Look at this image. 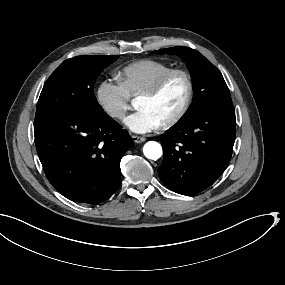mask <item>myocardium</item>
<instances>
[{"mask_svg":"<svg viewBox=\"0 0 285 285\" xmlns=\"http://www.w3.org/2000/svg\"><path fill=\"white\" fill-rule=\"evenodd\" d=\"M176 77H180L183 80L184 90L182 100L174 112L160 121V125L163 127H168L178 122L187 112L192 94V83L189 75L183 70H173L164 75L154 86L144 92L137 100V103H142L146 99L155 96L161 92L168 84H170Z\"/></svg>","mask_w":285,"mask_h":285,"instance_id":"obj_1","label":"myocardium"}]
</instances>
